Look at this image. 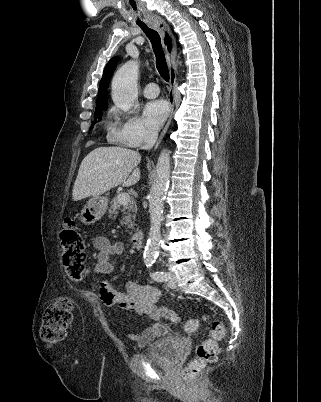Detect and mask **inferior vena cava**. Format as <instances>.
<instances>
[{"mask_svg":"<svg viewBox=\"0 0 321 402\" xmlns=\"http://www.w3.org/2000/svg\"><path fill=\"white\" fill-rule=\"evenodd\" d=\"M158 137V133L155 130H149L147 131L145 138H144V145L142 146V149L145 150H150L154 146L156 140Z\"/></svg>","mask_w":321,"mask_h":402,"instance_id":"inferior-vena-cava-1","label":"inferior vena cava"}]
</instances>
